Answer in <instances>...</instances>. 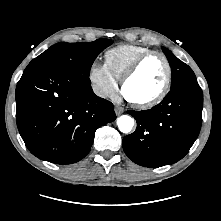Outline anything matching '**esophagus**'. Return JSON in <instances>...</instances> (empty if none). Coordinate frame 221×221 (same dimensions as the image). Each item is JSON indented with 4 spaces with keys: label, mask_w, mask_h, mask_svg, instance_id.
<instances>
[{
    "label": "esophagus",
    "mask_w": 221,
    "mask_h": 221,
    "mask_svg": "<svg viewBox=\"0 0 221 221\" xmlns=\"http://www.w3.org/2000/svg\"><path fill=\"white\" fill-rule=\"evenodd\" d=\"M124 112V108L120 105L115 106V113L117 116L121 115Z\"/></svg>",
    "instance_id": "1"
}]
</instances>
